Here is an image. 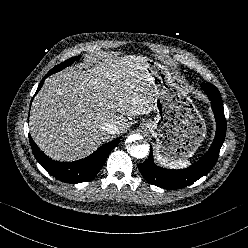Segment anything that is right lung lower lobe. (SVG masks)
Wrapping results in <instances>:
<instances>
[{"label":"right lung lower lobe","mask_w":248,"mask_h":248,"mask_svg":"<svg viewBox=\"0 0 248 248\" xmlns=\"http://www.w3.org/2000/svg\"><path fill=\"white\" fill-rule=\"evenodd\" d=\"M50 70L40 82L36 93L41 89L45 78L53 74ZM33 154L42 167L56 179L66 183L76 184L92 180L104 165L108 155L120 142V138L102 145L90 156L74 162H57L44 155L29 136Z\"/></svg>","instance_id":"98d812e1"}]
</instances>
